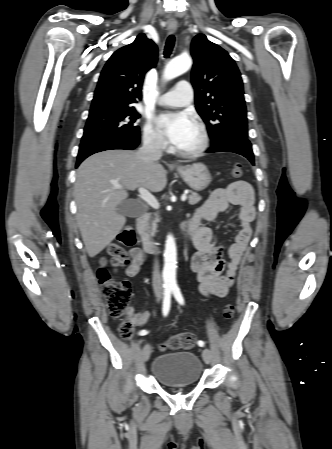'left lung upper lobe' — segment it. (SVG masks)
Masks as SVG:
<instances>
[{
  "mask_svg": "<svg viewBox=\"0 0 332 449\" xmlns=\"http://www.w3.org/2000/svg\"><path fill=\"white\" fill-rule=\"evenodd\" d=\"M191 81L196 110L204 120L212 145L232 137H248L243 82L235 61L203 34L192 40Z\"/></svg>",
  "mask_w": 332,
  "mask_h": 449,
  "instance_id": "left-lung-upper-lobe-1",
  "label": "left lung upper lobe"
}]
</instances>
